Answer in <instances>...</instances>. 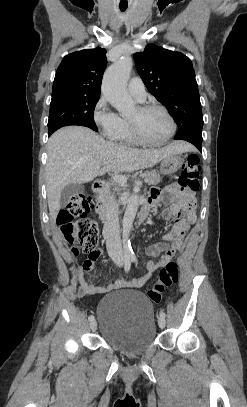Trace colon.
Returning <instances> with one entry per match:
<instances>
[{
	"label": "colon",
	"mask_w": 247,
	"mask_h": 407,
	"mask_svg": "<svg viewBox=\"0 0 247 407\" xmlns=\"http://www.w3.org/2000/svg\"><path fill=\"white\" fill-rule=\"evenodd\" d=\"M200 170L198 155H187L178 179L180 187L191 193H196L200 188ZM93 207L94 201L91 196L83 193L76 194L71 197L66 208L57 217V224L60 226L64 238L88 256L96 253L99 242L98 224L87 218V214ZM77 248L73 249L74 253H77ZM178 280V264L175 262L167 263L159 269L157 281L148 290L149 299L155 303L160 302L164 289L176 284Z\"/></svg>",
	"instance_id": "colon-1"
}]
</instances>
